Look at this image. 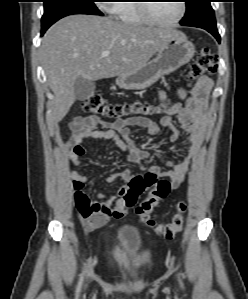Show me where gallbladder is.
<instances>
[{"mask_svg":"<svg viewBox=\"0 0 248 299\" xmlns=\"http://www.w3.org/2000/svg\"><path fill=\"white\" fill-rule=\"evenodd\" d=\"M95 82L78 77L73 85L74 94L79 101L86 100L95 90Z\"/></svg>","mask_w":248,"mask_h":299,"instance_id":"bac80fb5","label":"gallbladder"}]
</instances>
